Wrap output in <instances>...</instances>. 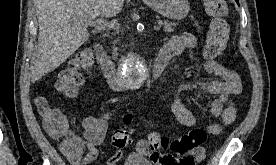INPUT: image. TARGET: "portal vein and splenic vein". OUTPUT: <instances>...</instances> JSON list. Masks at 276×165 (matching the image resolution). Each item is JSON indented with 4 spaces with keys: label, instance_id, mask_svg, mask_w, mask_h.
I'll return each mask as SVG.
<instances>
[{
    "label": "portal vein and splenic vein",
    "instance_id": "portal-vein-and-splenic-vein-1",
    "mask_svg": "<svg viewBox=\"0 0 276 165\" xmlns=\"http://www.w3.org/2000/svg\"><path fill=\"white\" fill-rule=\"evenodd\" d=\"M88 25H91L99 30H106V29H115L117 28V24L109 23L103 18H97L93 21H90ZM162 25V22H158V25L154 26V30H160V27Z\"/></svg>",
    "mask_w": 276,
    "mask_h": 165
}]
</instances>
